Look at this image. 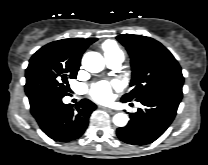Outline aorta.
I'll list each match as a JSON object with an SVG mask.
<instances>
[{"mask_svg": "<svg viewBox=\"0 0 208 165\" xmlns=\"http://www.w3.org/2000/svg\"><path fill=\"white\" fill-rule=\"evenodd\" d=\"M82 65L85 70L91 73H98L104 69L105 61L98 52H87L82 59ZM128 116L124 113H117L113 117V123L118 127H124L128 123Z\"/></svg>", "mask_w": 208, "mask_h": 165, "instance_id": "aorta-1", "label": "aorta"}]
</instances>
